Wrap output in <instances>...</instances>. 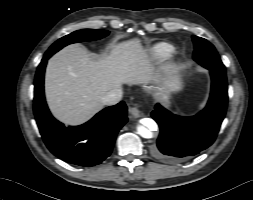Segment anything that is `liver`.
<instances>
[{
    "mask_svg": "<svg viewBox=\"0 0 253 200\" xmlns=\"http://www.w3.org/2000/svg\"><path fill=\"white\" fill-rule=\"evenodd\" d=\"M152 66L138 39L114 46L110 55L94 60L78 45H69L48 61L45 94L52 114L78 125L100 111L103 97L123 84H147Z\"/></svg>",
    "mask_w": 253,
    "mask_h": 200,
    "instance_id": "6515ba94",
    "label": "liver"
}]
</instances>
